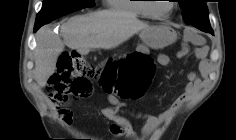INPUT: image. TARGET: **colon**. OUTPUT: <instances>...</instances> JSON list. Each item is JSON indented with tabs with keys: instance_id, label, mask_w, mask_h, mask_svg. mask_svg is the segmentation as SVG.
<instances>
[{
	"instance_id": "obj_1",
	"label": "colon",
	"mask_w": 236,
	"mask_h": 140,
	"mask_svg": "<svg viewBox=\"0 0 236 140\" xmlns=\"http://www.w3.org/2000/svg\"><path fill=\"white\" fill-rule=\"evenodd\" d=\"M154 70V63L147 56H127L108 61L103 68L97 69L76 51L63 52L46 93L55 104H65L70 99L89 96L91 79L99 78L108 91L124 99H137L147 91Z\"/></svg>"
}]
</instances>
